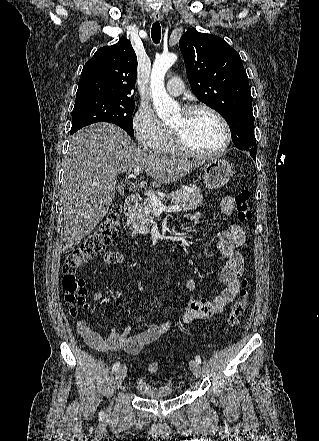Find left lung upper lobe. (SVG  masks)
<instances>
[{
	"label": "left lung upper lobe",
	"instance_id": "5c2ea615",
	"mask_svg": "<svg viewBox=\"0 0 319 441\" xmlns=\"http://www.w3.org/2000/svg\"><path fill=\"white\" fill-rule=\"evenodd\" d=\"M179 47L194 94L227 121L235 146L256 158L252 97L239 54L224 39L194 28Z\"/></svg>",
	"mask_w": 319,
	"mask_h": 441
}]
</instances>
